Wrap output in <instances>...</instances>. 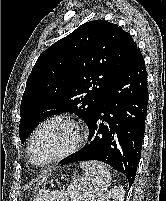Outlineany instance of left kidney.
<instances>
[{"instance_id": "left-kidney-1", "label": "left kidney", "mask_w": 166, "mask_h": 201, "mask_svg": "<svg viewBox=\"0 0 166 201\" xmlns=\"http://www.w3.org/2000/svg\"><path fill=\"white\" fill-rule=\"evenodd\" d=\"M125 190L123 186H116L112 190L108 191L103 195L99 201H110L112 198L113 201H124Z\"/></svg>"}]
</instances>
